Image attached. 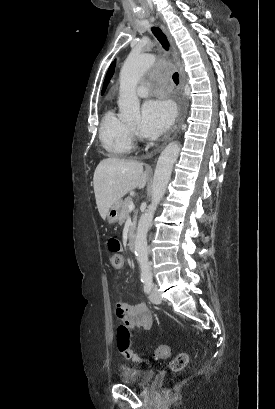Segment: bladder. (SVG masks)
I'll use <instances>...</instances> for the list:
<instances>
[{
  "mask_svg": "<svg viewBox=\"0 0 275 409\" xmlns=\"http://www.w3.org/2000/svg\"><path fill=\"white\" fill-rule=\"evenodd\" d=\"M157 375V371L127 364L121 366L118 372V380L120 384L150 386Z\"/></svg>",
  "mask_w": 275,
  "mask_h": 409,
  "instance_id": "1",
  "label": "bladder"
}]
</instances>
